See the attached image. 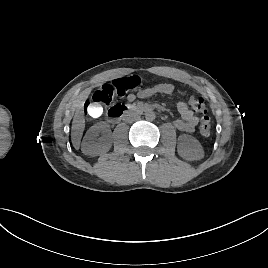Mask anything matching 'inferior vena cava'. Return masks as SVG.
I'll list each match as a JSON object with an SVG mask.
<instances>
[{"mask_svg":"<svg viewBox=\"0 0 268 268\" xmlns=\"http://www.w3.org/2000/svg\"><path fill=\"white\" fill-rule=\"evenodd\" d=\"M138 119H139V115L136 114L135 112H128L124 115V121L128 123L137 121Z\"/></svg>","mask_w":268,"mask_h":268,"instance_id":"602c4592","label":"inferior vena cava"}]
</instances>
